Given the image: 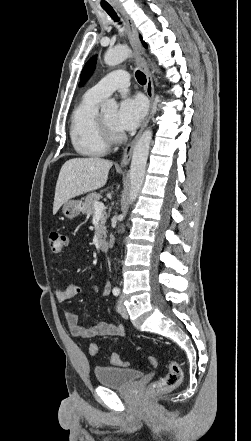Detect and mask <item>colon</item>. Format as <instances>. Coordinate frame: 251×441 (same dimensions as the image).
<instances>
[{
	"label": "colon",
	"instance_id": "colon-1",
	"mask_svg": "<svg viewBox=\"0 0 251 441\" xmlns=\"http://www.w3.org/2000/svg\"><path fill=\"white\" fill-rule=\"evenodd\" d=\"M48 242L51 250L54 253H60L64 250L67 245V237L65 234L58 230H53L48 235ZM89 353L91 355H97L98 345L91 343L89 345ZM110 363L116 366H127L128 363L124 361L119 355L111 353L108 356ZM148 363L150 366L154 367L156 365V359L154 357L148 358ZM183 380V370L180 364L174 360L168 363V373L152 382L148 388V391L152 394L163 393L170 391L182 383Z\"/></svg>",
	"mask_w": 251,
	"mask_h": 441
}]
</instances>
